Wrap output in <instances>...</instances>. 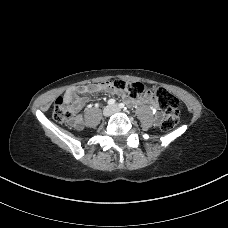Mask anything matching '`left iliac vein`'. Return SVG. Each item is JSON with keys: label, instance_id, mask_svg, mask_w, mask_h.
<instances>
[{"label": "left iliac vein", "instance_id": "4c4485c4", "mask_svg": "<svg viewBox=\"0 0 228 228\" xmlns=\"http://www.w3.org/2000/svg\"><path fill=\"white\" fill-rule=\"evenodd\" d=\"M112 109H113L114 112H118L119 111V107L117 105H114L112 107Z\"/></svg>", "mask_w": 228, "mask_h": 228}]
</instances>
